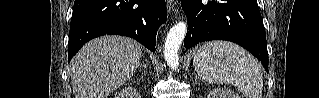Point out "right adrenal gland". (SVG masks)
Masks as SVG:
<instances>
[{
    "instance_id": "1",
    "label": "right adrenal gland",
    "mask_w": 319,
    "mask_h": 98,
    "mask_svg": "<svg viewBox=\"0 0 319 98\" xmlns=\"http://www.w3.org/2000/svg\"><path fill=\"white\" fill-rule=\"evenodd\" d=\"M142 65H143L144 67H146V64H145V62H144V61H143Z\"/></svg>"
}]
</instances>
